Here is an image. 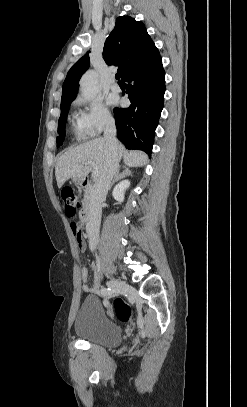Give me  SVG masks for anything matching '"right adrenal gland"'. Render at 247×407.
Instances as JSON below:
<instances>
[{"label": "right adrenal gland", "instance_id": "right-adrenal-gland-1", "mask_svg": "<svg viewBox=\"0 0 247 407\" xmlns=\"http://www.w3.org/2000/svg\"><path fill=\"white\" fill-rule=\"evenodd\" d=\"M130 175H131V171L129 170V168H125L121 173H120V169H118L110 187H112L115 184V182H117L118 180H120L126 176H130Z\"/></svg>", "mask_w": 247, "mask_h": 407}]
</instances>
